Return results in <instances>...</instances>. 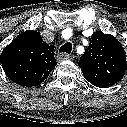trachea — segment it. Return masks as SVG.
Listing matches in <instances>:
<instances>
[{"label":"trachea","instance_id":"3493384b","mask_svg":"<svg viewBox=\"0 0 127 127\" xmlns=\"http://www.w3.org/2000/svg\"><path fill=\"white\" fill-rule=\"evenodd\" d=\"M59 51L70 54L72 51V44L70 42L65 43L64 45L61 46Z\"/></svg>","mask_w":127,"mask_h":127}]
</instances>
